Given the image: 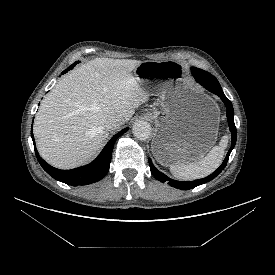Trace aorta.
<instances>
[{
  "label": "aorta",
  "mask_w": 275,
  "mask_h": 275,
  "mask_svg": "<svg viewBox=\"0 0 275 275\" xmlns=\"http://www.w3.org/2000/svg\"><path fill=\"white\" fill-rule=\"evenodd\" d=\"M134 136L139 140H146L151 134V126L146 121H137L132 127Z\"/></svg>",
  "instance_id": "1"
}]
</instances>
